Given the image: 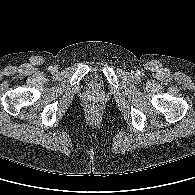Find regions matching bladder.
Returning <instances> with one entry per match:
<instances>
[{"mask_svg":"<svg viewBox=\"0 0 195 195\" xmlns=\"http://www.w3.org/2000/svg\"><path fill=\"white\" fill-rule=\"evenodd\" d=\"M90 85L92 87H95L97 85V81H96L95 77H92L91 82H90Z\"/></svg>","mask_w":195,"mask_h":195,"instance_id":"bladder-1","label":"bladder"}]
</instances>
